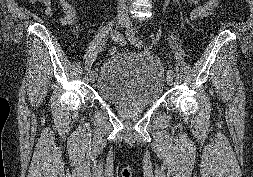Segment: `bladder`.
Returning a JSON list of instances; mask_svg holds the SVG:
<instances>
[{
    "label": "bladder",
    "mask_w": 253,
    "mask_h": 177,
    "mask_svg": "<svg viewBox=\"0 0 253 177\" xmlns=\"http://www.w3.org/2000/svg\"><path fill=\"white\" fill-rule=\"evenodd\" d=\"M95 81L96 93L103 101H136L143 106L158 102L165 84L162 65L155 55L130 52L107 59Z\"/></svg>",
    "instance_id": "31cf9c89"
}]
</instances>
